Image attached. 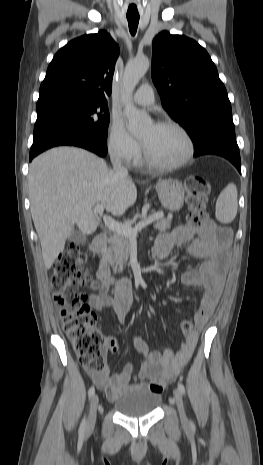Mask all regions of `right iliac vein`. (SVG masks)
I'll use <instances>...</instances> for the list:
<instances>
[{
    "mask_svg": "<svg viewBox=\"0 0 263 465\" xmlns=\"http://www.w3.org/2000/svg\"><path fill=\"white\" fill-rule=\"evenodd\" d=\"M99 398L97 394H94L91 399L89 417L87 422L86 430L90 431L93 429L96 421L97 408H98Z\"/></svg>",
    "mask_w": 263,
    "mask_h": 465,
    "instance_id": "right-iliac-vein-1",
    "label": "right iliac vein"
}]
</instances>
